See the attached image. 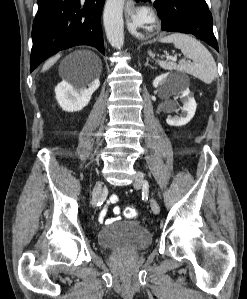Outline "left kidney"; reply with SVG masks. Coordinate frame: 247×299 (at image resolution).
I'll list each match as a JSON object with an SVG mask.
<instances>
[{
	"instance_id": "obj_1",
	"label": "left kidney",
	"mask_w": 247,
	"mask_h": 299,
	"mask_svg": "<svg viewBox=\"0 0 247 299\" xmlns=\"http://www.w3.org/2000/svg\"><path fill=\"white\" fill-rule=\"evenodd\" d=\"M153 86L155 88L161 87L166 90L167 93L171 95H177L182 101V115L181 117L168 116L166 119L167 124L170 126H183L186 125L194 117L197 104L195 99L190 95V90L188 88H181L176 84V80L173 76L168 74H162L156 77L153 81Z\"/></svg>"
}]
</instances>
